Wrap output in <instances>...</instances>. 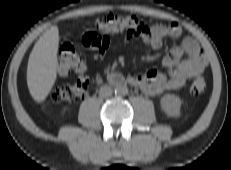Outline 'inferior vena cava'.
I'll return each mask as SVG.
<instances>
[{
    "label": "inferior vena cava",
    "instance_id": "602c4592",
    "mask_svg": "<svg viewBox=\"0 0 231 170\" xmlns=\"http://www.w3.org/2000/svg\"><path fill=\"white\" fill-rule=\"evenodd\" d=\"M112 95V89L109 86H102L99 90V96L100 97H109Z\"/></svg>",
    "mask_w": 231,
    "mask_h": 170
}]
</instances>
